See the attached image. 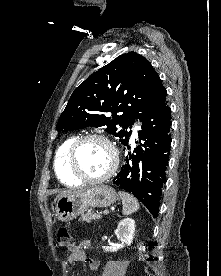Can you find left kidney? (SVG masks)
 <instances>
[{"instance_id":"1","label":"left kidney","mask_w":221,"mask_h":276,"mask_svg":"<svg viewBox=\"0 0 221 276\" xmlns=\"http://www.w3.org/2000/svg\"><path fill=\"white\" fill-rule=\"evenodd\" d=\"M135 232V221L131 218H125L118 223L115 234L117 238L122 242V245L117 247H112L110 250L106 248L107 251L116 252L123 247V244L131 245ZM105 249V247H104Z\"/></svg>"}]
</instances>
